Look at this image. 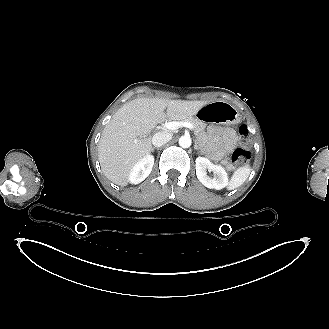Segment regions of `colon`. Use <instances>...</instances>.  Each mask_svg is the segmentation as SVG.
Masks as SVG:
<instances>
[{
    "mask_svg": "<svg viewBox=\"0 0 329 329\" xmlns=\"http://www.w3.org/2000/svg\"><path fill=\"white\" fill-rule=\"evenodd\" d=\"M251 143L250 132L246 125L239 128V147L233 152V161L237 165H245L251 159V151L249 149Z\"/></svg>",
    "mask_w": 329,
    "mask_h": 329,
    "instance_id": "1",
    "label": "colon"
}]
</instances>
